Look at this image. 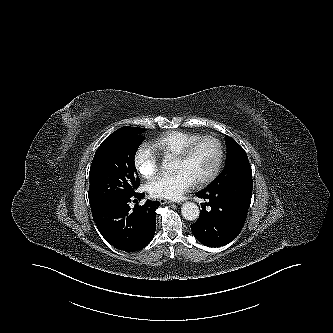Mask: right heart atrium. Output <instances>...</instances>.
<instances>
[{
  "instance_id": "d8ad5b80",
  "label": "right heart atrium",
  "mask_w": 333,
  "mask_h": 333,
  "mask_svg": "<svg viewBox=\"0 0 333 333\" xmlns=\"http://www.w3.org/2000/svg\"><path fill=\"white\" fill-rule=\"evenodd\" d=\"M133 165L143 178L152 177L159 169V158L146 146H140L133 155Z\"/></svg>"
}]
</instances>
